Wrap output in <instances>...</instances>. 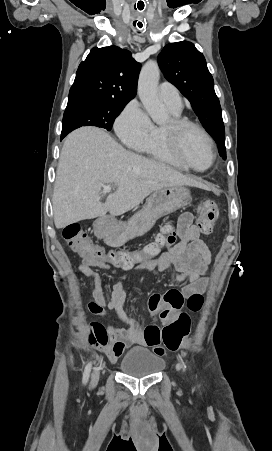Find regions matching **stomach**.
Listing matches in <instances>:
<instances>
[{
  "mask_svg": "<svg viewBox=\"0 0 272 451\" xmlns=\"http://www.w3.org/2000/svg\"><path fill=\"white\" fill-rule=\"evenodd\" d=\"M190 200V192L184 186H167L156 190L147 198L142 210L134 214L128 222H117L115 226L109 227L104 241L110 247H120L128 239L144 235L154 226L156 220L184 208Z\"/></svg>",
  "mask_w": 272,
  "mask_h": 451,
  "instance_id": "1",
  "label": "stomach"
}]
</instances>
